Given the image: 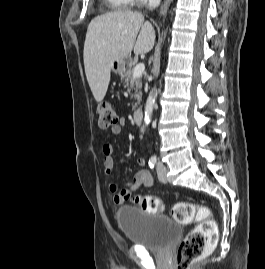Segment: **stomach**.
Wrapping results in <instances>:
<instances>
[{"label":"stomach","instance_id":"0dacf381","mask_svg":"<svg viewBox=\"0 0 265 269\" xmlns=\"http://www.w3.org/2000/svg\"><path fill=\"white\" fill-rule=\"evenodd\" d=\"M130 65H131V60L129 57L122 58V59L113 61V63L111 64V70L115 74L124 76L127 74Z\"/></svg>","mask_w":265,"mask_h":269}]
</instances>
